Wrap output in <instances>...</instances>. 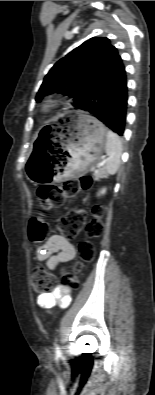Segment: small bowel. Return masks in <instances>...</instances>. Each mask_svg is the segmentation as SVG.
I'll list each match as a JSON object with an SVG mask.
<instances>
[{
    "instance_id": "obj_1",
    "label": "small bowel",
    "mask_w": 155,
    "mask_h": 395,
    "mask_svg": "<svg viewBox=\"0 0 155 395\" xmlns=\"http://www.w3.org/2000/svg\"><path fill=\"white\" fill-rule=\"evenodd\" d=\"M76 256L74 245L62 235H52L36 251V259L45 262L49 269H54L61 263L73 260ZM70 289L57 286L52 291L40 294L37 304L41 308L50 311L59 305L62 308L70 304Z\"/></svg>"
}]
</instances>
